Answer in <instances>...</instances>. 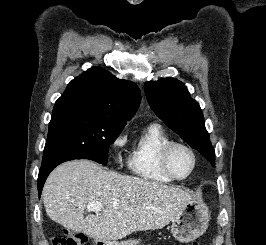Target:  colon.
<instances>
[{
	"label": "colon",
	"instance_id": "obj_1",
	"mask_svg": "<svg viewBox=\"0 0 266 245\" xmlns=\"http://www.w3.org/2000/svg\"><path fill=\"white\" fill-rule=\"evenodd\" d=\"M86 242L84 236L81 233L64 232L63 237H53L52 245H84ZM193 245H198L197 242H193Z\"/></svg>",
	"mask_w": 266,
	"mask_h": 245
}]
</instances>
